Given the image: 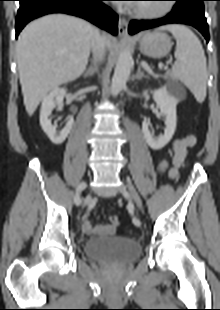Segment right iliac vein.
<instances>
[{
    "instance_id": "right-iliac-vein-1",
    "label": "right iliac vein",
    "mask_w": 220,
    "mask_h": 310,
    "mask_svg": "<svg viewBox=\"0 0 220 310\" xmlns=\"http://www.w3.org/2000/svg\"><path fill=\"white\" fill-rule=\"evenodd\" d=\"M90 200H91V196L88 195V196H87V201H90Z\"/></svg>"
}]
</instances>
